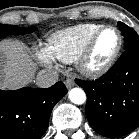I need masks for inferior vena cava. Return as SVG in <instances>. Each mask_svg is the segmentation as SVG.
Returning <instances> with one entry per match:
<instances>
[{
	"mask_svg": "<svg viewBox=\"0 0 139 139\" xmlns=\"http://www.w3.org/2000/svg\"><path fill=\"white\" fill-rule=\"evenodd\" d=\"M58 76L55 70H42L37 74L35 82L41 88H48L58 81Z\"/></svg>",
	"mask_w": 139,
	"mask_h": 139,
	"instance_id": "602c4592",
	"label": "inferior vena cava"
}]
</instances>
